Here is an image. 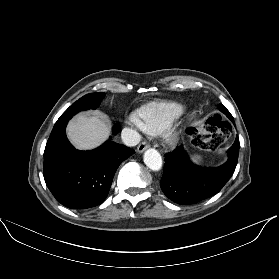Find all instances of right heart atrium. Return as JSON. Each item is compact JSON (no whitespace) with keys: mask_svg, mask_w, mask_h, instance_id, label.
Returning <instances> with one entry per match:
<instances>
[{"mask_svg":"<svg viewBox=\"0 0 279 279\" xmlns=\"http://www.w3.org/2000/svg\"><path fill=\"white\" fill-rule=\"evenodd\" d=\"M129 122L136 127H141L140 119L138 115L132 114L129 116Z\"/></svg>","mask_w":279,"mask_h":279,"instance_id":"obj_1","label":"right heart atrium"}]
</instances>
